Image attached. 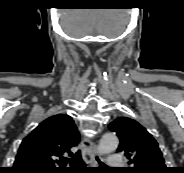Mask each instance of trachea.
I'll list each match as a JSON object with an SVG mask.
<instances>
[{"label":"trachea","instance_id":"trachea-1","mask_svg":"<svg viewBox=\"0 0 184 173\" xmlns=\"http://www.w3.org/2000/svg\"><path fill=\"white\" fill-rule=\"evenodd\" d=\"M96 160L98 161V163L100 164L101 168L105 167V164L103 162H101L98 157H96ZM64 161L68 162V159H65ZM70 165L72 169H78V168H82L85 166V163L82 159L81 156V151H78L71 159H70Z\"/></svg>","mask_w":184,"mask_h":173}]
</instances>
